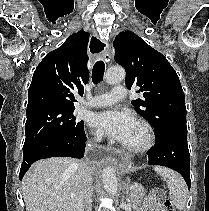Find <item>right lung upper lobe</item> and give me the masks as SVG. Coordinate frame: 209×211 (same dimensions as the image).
<instances>
[{
  "label": "right lung upper lobe",
  "mask_w": 209,
  "mask_h": 211,
  "mask_svg": "<svg viewBox=\"0 0 209 211\" xmlns=\"http://www.w3.org/2000/svg\"><path fill=\"white\" fill-rule=\"evenodd\" d=\"M88 37L83 30L72 34L39 63L28 90L27 112L75 108L72 92L83 95V85L89 80Z\"/></svg>",
  "instance_id": "1"
}]
</instances>
